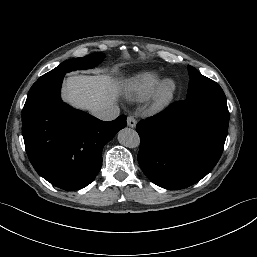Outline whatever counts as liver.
I'll return each instance as SVG.
<instances>
[{"label": "liver", "mask_w": 257, "mask_h": 257, "mask_svg": "<svg viewBox=\"0 0 257 257\" xmlns=\"http://www.w3.org/2000/svg\"><path fill=\"white\" fill-rule=\"evenodd\" d=\"M122 84L108 75H75L67 78L62 91L63 99L73 107L93 111L114 105Z\"/></svg>", "instance_id": "6515ba94"}]
</instances>
